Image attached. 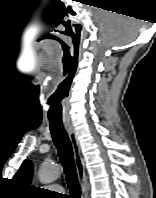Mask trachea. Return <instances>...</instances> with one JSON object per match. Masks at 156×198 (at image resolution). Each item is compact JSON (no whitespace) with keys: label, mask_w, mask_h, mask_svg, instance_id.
<instances>
[{"label":"trachea","mask_w":156,"mask_h":198,"mask_svg":"<svg viewBox=\"0 0 156 198\" xmlns=\"http://www.w3.org/2000/svg\"><path fill=\"white\" fill-rule=\"evenodd\" d=\"M50 130L62 166L64 167L67 184L72 195L68 198H80L81 189L77 181L73 150L68 134L62 122L58 121H50Z\"/></svg>","instance_id":"obj_1"}]
</instances>
